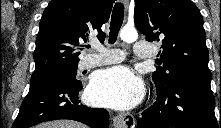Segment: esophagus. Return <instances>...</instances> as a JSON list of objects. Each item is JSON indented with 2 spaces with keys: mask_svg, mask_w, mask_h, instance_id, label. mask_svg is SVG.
I'll return each instance as SVG.
<instances>
[{
  "mask_svg": "<svg viewBox=\"0 0 221 128\" xmlns=\"http://www.w3.org/2000/svg\"><path fill=\"white\" fill-rule=\"evenodd\" d=\"M125 7H128L129 0H122ZM113 124L116 128H134L135 127V118L129 112L119 113L113 117Z\"/></svg>",
  "mask_w": 221,
  "mask_h": 128,
  "instance_id": "34e87169",
  "label": "esophagus"
}]
</instances>
